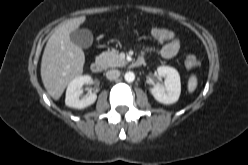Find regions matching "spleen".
Masks as SVG:
<instances>
[{
    "mask_svg": "<svg viewBox=\"0 0 248 165\" xmlns=\"http://www.w3.org/2000/svg\"><path fill=\"white\" fill-rule=\"evenodd\" d=\"M197 87V77L195 75H191L188 80V91L190 93L194 92Z\"/></svg>",
    "mask_w": 248,
    "mask_h": 165,
    "instance_id": "spleen-1",
    "label": "spleen"
}]
</instances>
